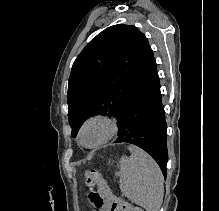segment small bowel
<instances>
[{
  "label": "small bowel",
  "mask_w": 219,
  "mask_h": 211,
  "mask_svg": "<svg viewBox=\"0 0 219 211\" xmlns=\"http://www.w3.org/2000/svg\"><path fill=\"white\" fill-rule=\"evenodd\" d=\"M90 201L95 207V211H111L109 204L102 201L97 194H91Z\"/></svg>",
  "instance_id": "obj_1"
}]
</instances>
